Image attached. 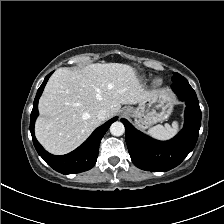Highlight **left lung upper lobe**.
Masks as SVG:
<instances>
[{
	"label": "left lung upper lobe",
	"instance_id": "1",
	"mask_svg": "<svg viewBox=\"0 0 224 224\" xmlns=\"http://www.w3.org/2000/svg\"><path fill=\"white\" fill-rule=\"evenodd\" d=\"M173 75L174 76L172 77V82H177V81L182 80L184 78L183 76H181L178 73H173Z\"/></svg>",
	"mask_w": 224,
	"mask_h": 224
}]
</instances>
